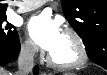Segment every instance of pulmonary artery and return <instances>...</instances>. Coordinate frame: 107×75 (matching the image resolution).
Returning <instances> with one entry per match:
<instances>
[{
	"mask_svg": "<svg viewBox=\"0 0 107 75\" xmlns=\"http://www.w3.org/2000/svg\"><path fill=\"white\" fill-rule=\"evenodd\" d=\"M47 1L48 0H24L20 3L18 12L24 13V12L34 10V9L42 6Z\"/></svg>",
	"mask_w": 107,
	"mask_h": 75,
	"instance_id": "1",
	"label": "pulmonary artery"
}]
</instances>
